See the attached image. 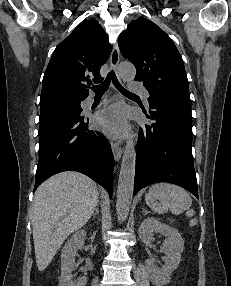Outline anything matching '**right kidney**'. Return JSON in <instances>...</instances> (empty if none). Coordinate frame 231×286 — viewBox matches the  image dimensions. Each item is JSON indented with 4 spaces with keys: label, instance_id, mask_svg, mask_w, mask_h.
I'll return each instance as SVG.
<instances>
[{
    "label": "right kidney",
    "instance_id": "ca27d5eb",
    "mask_svg": "<svg viewBox=\"0 0 231 286\" xmlns=\"http://www.w3.org/2000/svg\"><path fill=\"white\" fill-rule=\"evenodd\" d=\"M86 232L79 230L75 232L66 242L61 255V276L59 278V286H86L87 277H82L77 281L73 280V267L75 264V256L78 249L84 245Z\"/></svg>",
    "mask_w": 231,
    "mask_h": 286
}]
</instances>
